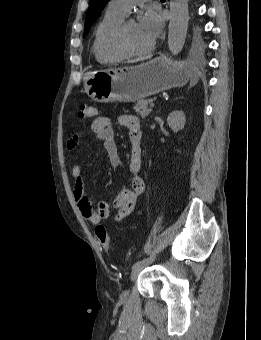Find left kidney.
I'll return each instance as SVG.
<instances>
[{"label":"left kidney","mask_w":261,"mask_h":340,"mask_svg":"<svg viewBox=\"0 0 261 340\" xmlns=\"http://www.w3.org/2000/svg\"><path fill=\"white\" fill-rule=\"evenodd\" d=\"M185 121L186 118L183 111H173L167 117L168 126L174 133H177L184 128Z\"/></svg>","instance_id":"5707ae66"}]
</instances>
